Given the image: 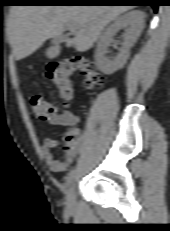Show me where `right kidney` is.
<instances>
[{
    "instance_id": "right-kidney-1",
    "label": "right kidney",
    "mask_w": 170,
    "mask_h": 231,
    "mask_svg": "<svg viewBox=\"0 0 170 231\" xmlns=\"http://www.w3.org/2000/svg\"><path fill=\"white\" fill-rule=\"evenodd\" d=\"M144 27V13L139 10L128 12L115 19L114 23L107 27L99 37L95 52V63L97 68L104 74L110 75L121 69L130 53L131 47L139 38ZM125 29L126 33L122 47L115 57H107L108 48L113 42V37L120 30Z\"/></svg>"
}]
</instances>
